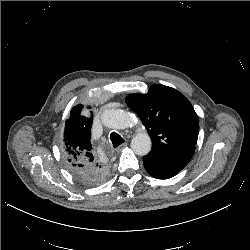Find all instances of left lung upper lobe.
<instances>
[{
  "mask_svg": "<svg viewBox=\"0 0 250 250\" xmlns=\"http://www.w3.org/2000/svg\"><path fill=\"white\" fill-rule=\"evenodd\" d=\"M126 103L152 139V150L143 158L183 169L194 154L199 133L198 116L188 99L171 87L153 85L145 95H129Z\"/></svg>",
  "mask_w": 250,
  "mask_h": 250,
  "instance_id": "5c2ea615",
  "label": "left lung upper lobe"
}]
</instances>
